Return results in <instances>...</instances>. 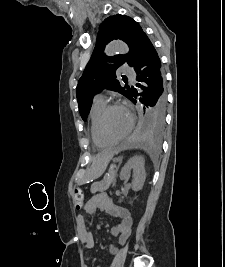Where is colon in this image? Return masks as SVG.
I'll return each mask as SVG.
<instances>
[{
  "label": "colon",
  "mask_w": 225,
  "mask_h": 267,
  "mask_svg": "<svg viewBox=\"0 0 225 267\" xmlns=\"http://www.w3.org/2000/svg\"><path fill=\"white\" fill-rule=\"evenodd\" d=\"M84 194L80 188H77L74 193V204L77 210H80L83 206Z\"/></svg>",
  "instance_id": "1"
}]
</instances>
